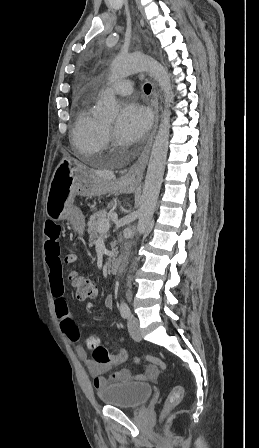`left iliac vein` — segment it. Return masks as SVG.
<instances>
[{
	"instance_id": "1",
	"label": "left iliac vein",
	"mask_w": 259,
	"mask_h": 448,
	"mask_svg": "<svg viewBox=\"0 0 259 448\" xmlns=\"http://www.w3.org/2000/svg\"><path fill=\"white\" fill-rule=\"evenodd\" d=\"M127 326H128V331H129L130 336L135 341H140L142 337H141V330H140L138 318L131 315L128 318Z\"/></svg>"
}]
</instances>
